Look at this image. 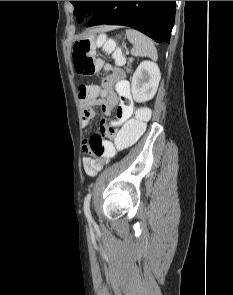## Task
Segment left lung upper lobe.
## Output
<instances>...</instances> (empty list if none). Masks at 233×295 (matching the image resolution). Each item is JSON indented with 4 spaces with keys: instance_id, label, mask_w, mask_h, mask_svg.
<instances>
[{
    "instance_id": "5c2ea615",
    "label": "left lung upper lobe",
    "mask_w": 233,
    "mask_h": 295,
    "mask_svg": "<svg viewBox=\"0 0 233 295\" xmlns=\"http://www.w3.org/2000/svg\"><path fill=\"white\" fill-rule=\"evenodd\" d=\"M74 5V14L77 16L78 22L81 21L83 13L88 10L95 12L101 1H70Z\"/></svg>"
}]
</instances>
